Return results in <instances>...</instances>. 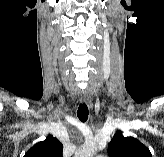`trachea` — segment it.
<instances>
[{"label": "trachea", "instance_id": "obj_1", "mask_svg": "<svg viewBox=\"0 0 164 157\" xmlns=\"http://www.w3.org/2000/svg\"><path fill=\"white\" fill-rule=\"evenodd\" d=\"M88 107L85 103L80 104L78 107V111H77V116L79 118L80 121L85 122L88 119Z\"/></svg>", "mask_w": 164, "mask_h": 157}]
</instances>
